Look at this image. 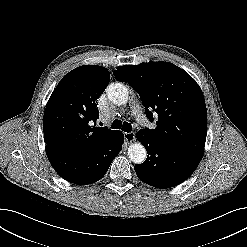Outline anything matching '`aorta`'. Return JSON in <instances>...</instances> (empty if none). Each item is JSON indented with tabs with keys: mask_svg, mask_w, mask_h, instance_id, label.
Returning a JSON list of instances; mask_svg holds the SVG:
<instances>
[{
	"mask_svg": "<svg viewBox=\"0 0 247 247\" xmlns=\"http://www.w3.org/2000/svg\"><path fill=\"white\" fill-rule=\"evenodd\" d=\"M106 92L108 99L116 105L126 104L129 99L128 89L122 83L110 84L107 87ZM128 156L135 164H141L146 160L147 152L145 147L140 142H136L129 146Z\"/></svg>",
	"mask_w": 247,
	"mask_h": 247,
	"instance_id": "762f6f07",
	"label": "aorta"
}]
</instances>
